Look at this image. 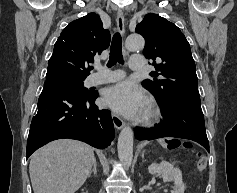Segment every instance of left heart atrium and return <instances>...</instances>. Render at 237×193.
<instances>
[{
	"label": "left heart atrium",
	"mask_w": 237,
	"mask_h": 193,
	"mask_svg": "<svg viewBox=\"0 0 237 193\" xmlns=\"http://www.w3.org/2000/svg\"><path fill=\"white\" fill-rule=\"evenodd\" d=\"M104 103L122 115L139 118L146 114L149 101L144 93L132 82L124 81L108 88Z\"/></svg>",
	"instance_id": "obj_1"
}]
</instances>
